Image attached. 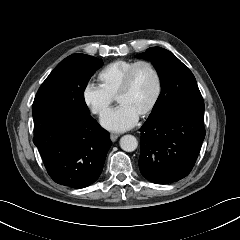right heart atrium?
Wrapping results in <instances>:
<instances>
[{
    "label": "right heart atrium",
    "mask_w": 240,
    "mask_h": 240,
    "mask_svg": "<svg viewBox=\"0 0 240 240\" xmlns=\"http://www.w3.org/2000/svg\"><path fill=\"white\" fill-rule=\"evenodd\" d=\"M83 100L92 113L103 117L111 108L114 98L99 85L87 84L83 91Z\"/></svg>",
    "instance_id": "right-heart-atrium-1"
}]
</instances>
